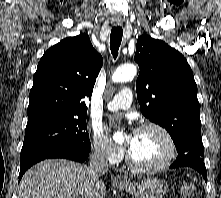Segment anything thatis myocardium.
Masks as SVG:
<instances>
[{
  "mask_svg": "<svg viewBox=\"0 0 221 198\" xmlns=\"http://www.w3.org/2000/svg\"><path fill=\"white\" fill-rule=\"evenodd\" d=\"M146 129H154L158 131L167 142V154L165 157L157 164L154 165H140L136 163L127 152L125 155V162L132 170L141 173H155L162 171L170 166L176 156V143L170 132L162 125L156 122H145L141 124L137 131H142Z\"/></svg>",
  "mask_w": 221,
  "mask_h": 198,
  "instance_id": "f54148a6",
  "label": "myocardium"
}]
</instances>
